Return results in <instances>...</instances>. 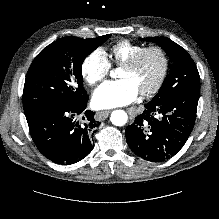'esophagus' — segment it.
I'll use <instances>...</instances> for the list:
<instances>
[{
  "label": "esophagus",
  "mask_w": 219,
  "mask_h": 219,
  "mask_svg": "<svg viewBox=\"0 0 219 219\" xmlns=\"http://www.w3.org/2000/svg\"><path fill=\"white\" fill-rule=\"evenodd\" d=\"M110 113H111V110L99 111V112L97 113L96 118H97L98 120H100V121H103V120H105V119L109 116Z\"/></svg>",
  "instance_id": "obj_1"
}]
</instances>
